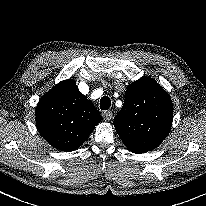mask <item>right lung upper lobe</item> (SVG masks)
Returning <instances> with one entry per match:
<instances>
[{"label": "right lung upper lobe", "mask_w": 206, "mask_h": 206, "mask_svg": "<svg viewBox=\"0 0 206 206\" xmlns=\"http://www.w3.org/2000/svg\"><path fill=\"white\" fill-rule=\"evenodd\" d=\"M36 125L53 147L74 151L89 137L101 121L95 106L69 79L48 91L36 107Z\"/></svg>", "instance_id": "1"}]
</instances>
